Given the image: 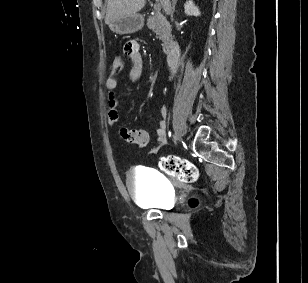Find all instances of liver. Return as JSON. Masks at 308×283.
I'll list each match as a JSON object with an SVG mask.
<instances>
[{
	"label": "liver",
	"mask_w": 308,
	"mask_h": 283,
	"mask_svg": "<svg viewBox=\"0 0 308 283\" xmlns=\"http://www.w3.org/2000/svg\"><path fill=\"white\" fill-rule=\"evenodd\" d=\"M166 10L169 0H159ZM146 0H108L105 23L109 25L118 17L137 13L145 6Z\"/></svg>",
	"instance_id": "obj_1"
}]
</instances>
